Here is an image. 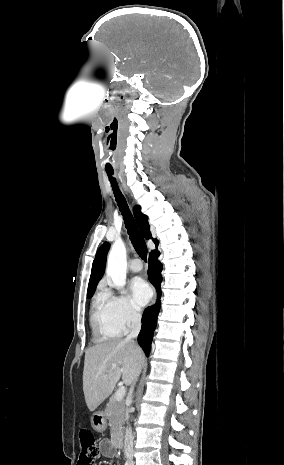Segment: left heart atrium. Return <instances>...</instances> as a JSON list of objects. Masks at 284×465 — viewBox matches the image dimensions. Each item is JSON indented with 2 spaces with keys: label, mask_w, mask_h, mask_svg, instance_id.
<instances>
[{
  "label": "left heart atrium",
  "mask_w": 284,
  "mask_h": 465,
  "mask_svg": "<svg viewBox=\"0 0 284 465\" xmlns=\"http://www.w3.org/2000/svg\"><path fill=\"white\" fill-rule=\"evenodd\" d=\"M129 298L134 307L137 309L143 308L151 298V290L148 284L140 278L133 279L130 282Z\"/></svg>",
  "instance_id": "39dd6f15"
}]
</instances>
